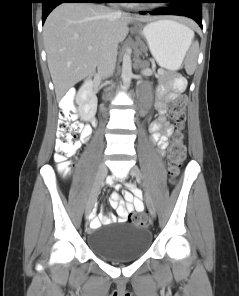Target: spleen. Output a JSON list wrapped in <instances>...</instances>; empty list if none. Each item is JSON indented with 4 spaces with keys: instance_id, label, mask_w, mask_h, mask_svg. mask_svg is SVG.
Instances as JSON below:
<instances>
[{
    "instance_id": "spleen-1",
    "label": "spleen",
    "mask_w": 239,
    "mask_h": 296,
    "mask_svg": "<svg viewBox=\"0 0 239 296\" xmlns=\"http://www.w3.org/2000/svg\"><path fill=\"white\" fill-rule=\"evenodd\" d=\"M187 30H188V33H189V37H190L189 41H190V44H191V41H192L193 36H194V32L189 28H187ZM190 44H189V46H190ZM197 52H198L197 44H194L192 49H191V52L189 54V57H188V59L186 61L185 68H186V71H187L188 74H192L194 72V70H195Z\"/></svg>"
}]
</instances>
